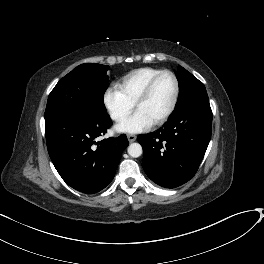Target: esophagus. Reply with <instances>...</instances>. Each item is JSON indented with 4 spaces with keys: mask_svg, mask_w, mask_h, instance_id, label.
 <instances>
[{
    "mask_svg": "<svg viewBox=\"0 0 264 264\" xmlns=\"http://www.w3.org/2000/svg\"><path fill=\"white\" fill-rule=\"evenodd\" d=\"M127 138H128V141L129 142H134L135 140H136V135H134V134H129L128 136H127Z\"/></svg>",
    "mask_w": 264,
    "mask_h": 264,
    "instance_id": "obj_1",
    "label": "esophagus"
}]
</instances>
